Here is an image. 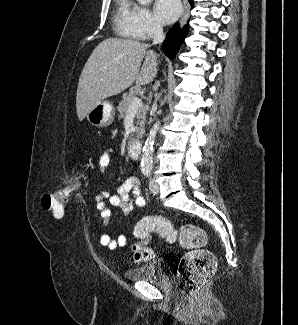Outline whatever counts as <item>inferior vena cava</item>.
I'll list each match as a JSON object with an SVG mask.
<instances>
[{
  "label": "inferior vena cava",
  "mask_w": 298,
  "mask_h": 325,
  "mask_svg": "<svg viewBox=\"0 0 298 325\" xmlns=\"http://www.w3.org/2000/svg\"><path fill=\"white\" fill-rule=\"evenodd\" d=\"M166 38V32L163 30V26L155 24L152 36V44H161Z\"/></svg>",
  "instance_id": "602c4592"
}]
</instances>
